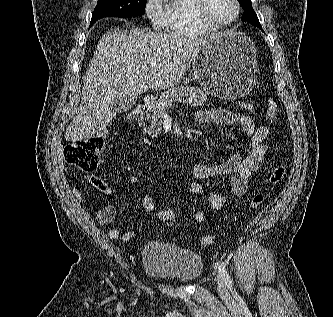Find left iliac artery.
Listing matches in <instances>:
<instances>
[{
	"mask_svg": "<svg viewBox=\"0 0 333 317\" xmlns=\"http://www.w3.org/2000/svg\"><path fill=\"white\" fill-rule=\"evenodd\" d=\"M217 267H218V271H219L220 275L222 276L225 284L232 291V293L235 294V291H233L232 280H231V277L228 274L227 270L225 269V267L222 264H219V263H217Z\"/></svg>",
	"mask_w": 333,
	"mask_h": 317,
	"instance_id": "obj_1",
	"label": "left iliac artery"
}]
</instances>
